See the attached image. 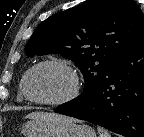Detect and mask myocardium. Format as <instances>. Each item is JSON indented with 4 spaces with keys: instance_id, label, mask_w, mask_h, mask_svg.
Here are the masks:
<instances>
[{
    "instance_id": "f54148a6",
    "label": "myocardium",
    "mask_w": 144,
    "mask_h": 137,
    "mask_svg": "<svg viewBox=\"0 0 144 137\" xmlns=\"http://www.w3.org/2000/svg\"><path fill=\"white\" fill-rule=\"evenodd\" d=\"M43 66L59 67L63 69L70 76L71 81H72V86H71L70 91L65 96L59 99H55V100H45V99L34 98L29 94L28 82H29L30 76L32 75L34 71H36L37 69ZM80 88H81V79H80L78 71L76 70L74 66L62 60L47 59V60H42L34 64L27 70V72L25 73L22 79L21 92H22L23 97L32 103L40 104V105H47V106H59V105H64L73 101L78 96Z\"/></svg>"
}]
</instances>
